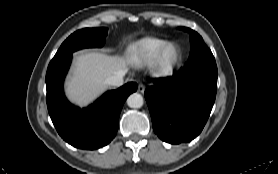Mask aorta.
I'll return each instance as SVG.
<instances>
[{
  "label": "aorta",
  "mask_w": 278,
  "mask_h": 174,
  "mask_svg": "<svg viewBox=\"0 0 278 174\" xmlns=\"http://www.w3.org/2000/svg\"><path fill=\"white\" fill-rule=\"evenodd\" d=\"M144 104V100L141 94L133 93L127 98V105L130 108H141Z\"/></svg>",
  "instance_id": "762f6f07"
}]
</instances>
